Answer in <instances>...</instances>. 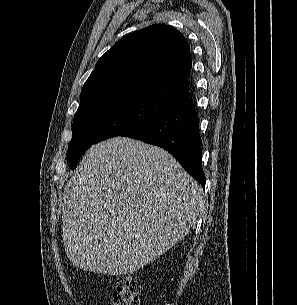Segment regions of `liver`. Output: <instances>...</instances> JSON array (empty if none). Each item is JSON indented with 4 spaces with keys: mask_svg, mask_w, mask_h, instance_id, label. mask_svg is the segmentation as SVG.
I'll return each mask as SVG.
<instances>
[{
    "mask_svg": "<svg viewBox=\"0 0 297 305\" xmlns=\"http://www.w3.org/2000/svg\"><path fill=\"white\" fill-rule=\"evenodd\" d=\"M203 190L164 149L126 137L91 147L64 189L65 252L80 269L127 275L182 240Z\"/></svg>",
    "mask_w": 297,
    "mask_h": 305,
    "instance_id": "6515ba94",
    "label": "liver"
}]
</instances>
